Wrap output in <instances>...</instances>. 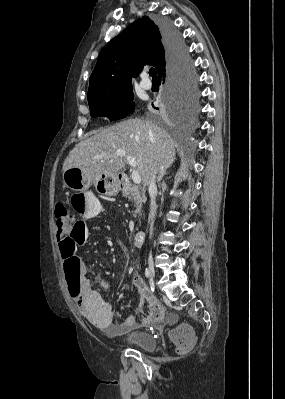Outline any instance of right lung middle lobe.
Returning <instances> with one entry per match:
<instances>
[{
	"label": "right lung middle lobe",
	"mask_w": 285,
	"mask_h": 399,
	"mask_svg": "<svg viewBox=\"0 0 285 399\" xmlns=\"http://www.w3.org/2000/svg\"><path fill=\"white\" fill-rule=\"evenodd\" d=\"M187 76L188 69L172 87L169 101L170 109L179 110L185 103L193 104V85L187 80ZM133 98V89H128L117 94L99 96L88 100L91 117H107L110 121L124 118L135 108L134 102H131Z\"/></svg>",
	"instance_id": "1"
}]
</instances>
